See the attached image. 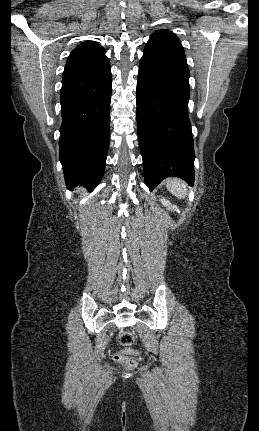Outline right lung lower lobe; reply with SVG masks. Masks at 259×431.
<instances>
[{
	"mask_svg": "<svg viewBox=\"0 0 259 431\" xmlns=\"http://www.w3.org/2000/svg\"><path fill=\"white\" fill-rule=\"evenodd\" d=\"M111 67L108 64L62 80L60 161L69 188L93 190L101 181L110 138Z\"/></svg>",
	"mask_w": 259,
	"mask_h": 431,
	"instance_id": "1",
	"label": "right lung lower lobe"
}]
</instances>
